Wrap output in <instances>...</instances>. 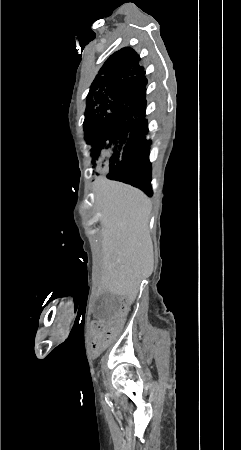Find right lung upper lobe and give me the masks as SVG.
Listing matches in <instances>:
<instances>
[{"mask_svg": "<svg viewBox=\"0 0 241 450\" xmlns=\"http://www.w3.org/2000/svg\"><path fill=\"white\" fill-rule=\"evenodd\" d=\"M139 61L132 48H122L107 59L93 83L113 87L120 98L146 101L147 79Z\"/></svg>", "mask_w": 241, "mask_h": 450, "instance_id": "right-lung-upper-lobe-1", "label": "right lung upper lobe"}]
</instances>
